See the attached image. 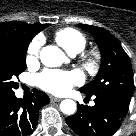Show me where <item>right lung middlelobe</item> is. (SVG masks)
Instances as JSON below:
<instances>
[{
    "label": "right lung middle lobe",
    "mask_w": 136,
    "mask_h": 136,
    "mask_svg": "<svg viewBox=\"0 0 136 136\" xmlns=\"http://www.w3.org/2000/svg\"><path fill=\"white\" fill-rule=\"evenodd\" d=\"M29 43L18 37L0 40V95H9L19 87L15 78L26 69Z\"/></svg>",
    "instance_id": "right-lung-middle-lobe-1"
}]
</instances>
